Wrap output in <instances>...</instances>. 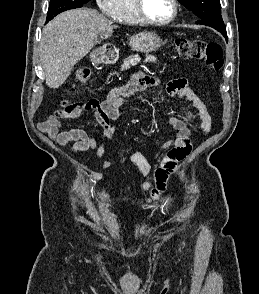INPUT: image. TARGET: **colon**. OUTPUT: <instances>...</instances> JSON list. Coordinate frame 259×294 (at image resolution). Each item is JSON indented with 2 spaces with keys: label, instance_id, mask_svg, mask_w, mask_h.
<instances>
[{
  "label": "colon",
  "instance_id": "colon-1",
  "mask_svg": "<svg viewBox=\"0 0 259 294\" xmlns=\"http://www.w3.org/2000/svg\"><path fill=\"white\" fill-rule=\"evenodd\" d=\"M173 46L182 58L201 60L215 71L220 70L223 66L222 48L217 43H206L202 40L180 37L174 40ZM91 77L92 72L89 68H81L75 73L71 86L86 84L91 80ZM61 105L64 109L69 106L65 99L61 101Z\"/></svg>",
  "mask_w": 259,
  "mask_h": 294
}]
</instances>
